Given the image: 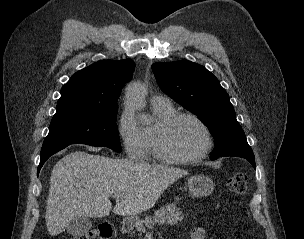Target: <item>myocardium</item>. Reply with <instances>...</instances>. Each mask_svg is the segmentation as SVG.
I'll use <instances>...</instances> for the list:
<instances>
[{
	"mask_svg": "<svg viewBox=\"0 0 304 239\" xmlns=\"http://www.w3.org/2000/svg\"><path fill=\"white\" fill-rule=\"evenodd\" d=\"M182 118H188L196 122L202 129L205 136V145L202 150L189 157H177L170 155L165 148V140L172 127ZM213 145L211 131L207 124L197 115L191 112L176 111L166 118L158 127L154 139V153L156 158L167 164L187 165L201 161L210 152Z\"/></svg>",
	"mask_w": 304,
	"mask_h": 239,
	"instance_id": "f54148a6",
	"label": "myocardium"
}]
</instances>
